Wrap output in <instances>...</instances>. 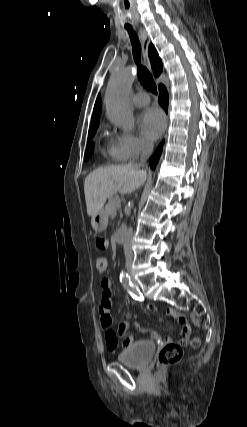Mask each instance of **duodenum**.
Masks as SVG:
<instances>
[{"mask_svg": "<svg viewBox=\"0 0 247 427\" xmlns=\"http://www.w3.org/2000/svg\"><path fill=\"white\" fill-rule=\"evenodd\" d=\"M125 234H126L125 227L124 226L120 227L119 230L116 233V236H115L116 242L119 245H123L124 244V242H125Z\"/></svg>", "mask_w": 247, "mask_h": 427, "instance_id": "1", "label": "duodenum"}]
</instances>
